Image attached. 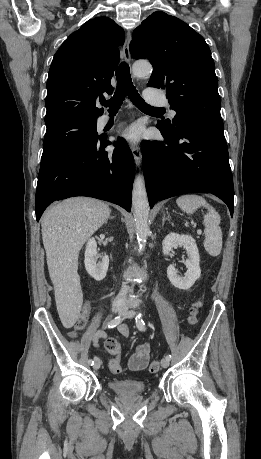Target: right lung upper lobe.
Wrapping results in <instances>:
<instances>
[{"label": "right lung upper lobe", "instance_id": "obj_1", "mask_svg": "<svg viewBox=\"0 0 261 459\" xmlns=\"http://www.w3.org/2000/svg\"><path fill=\"white\" fill-rule=\"evenodd\" d=\"M124 31L106 17L87 21L56 52L47 80L45 123L97 120L102 93H112L110 80L119 62Z\"/></svg>", "mask_w": 261, "mask_h": 459}]
</instances>
